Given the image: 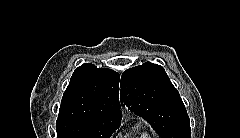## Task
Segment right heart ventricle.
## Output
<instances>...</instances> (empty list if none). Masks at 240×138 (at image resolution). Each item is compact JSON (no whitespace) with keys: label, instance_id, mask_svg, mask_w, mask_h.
<instances>
[{"label":"right heart ventricle","instance_id":"obj_1","mask_svg":"<svg viewBox=\"0 0 240 138\" xmlns=\"http://www.w3.org/2000/svg\"><path fill=\"white\" fill-rule=\"evenodd\" d=\"M138 138H148V137H147V134H145V133H140V134L138 135Z\"/></svg>","mask_w":240,"mask_h":138}]
</instances>
